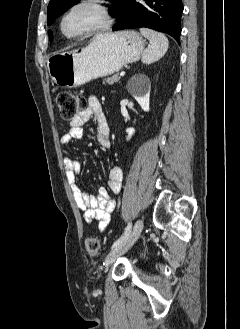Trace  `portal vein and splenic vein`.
<instances>
[{
  "mask_svg": "<svg viewBox=\"0 0 240 329\" xmlns=\"http://www.w3.org/2000/svg\"><path fill=\"white\" fill-rule=\"evenodd\" d=\"M124 75H125V72L122 71V72L120 73V77H123Z\"/></svg>",
  "mask_w": 240,
  "mask_h": 329,
  "instance_id": "obj_1",
  "label": "portal vein and splenic vein"
}]
</instances>
